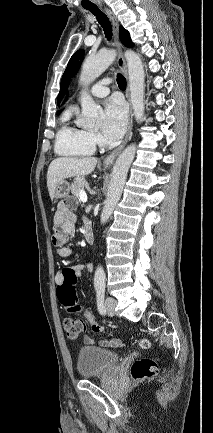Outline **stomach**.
Here are the masks:
<instances>
[{
	"instance_id": "obj_1",
	"label": "stomach",
	"mask_w": 213,
	"mask_h": 433,
	"mask_svg": "<svg viewBox=\"0 0 213 433\" xmlns=\"http://www.w3.org/2000/svg\"><path fill=\"white\" fill-rule=\"evenodd\" d=\"M70 191V184L66 180H62L56 187L53 199H61L68 196Z\"/></svg>"
}]
</instances>
